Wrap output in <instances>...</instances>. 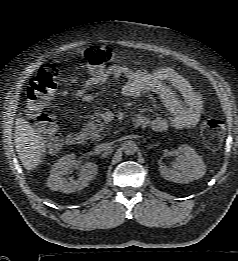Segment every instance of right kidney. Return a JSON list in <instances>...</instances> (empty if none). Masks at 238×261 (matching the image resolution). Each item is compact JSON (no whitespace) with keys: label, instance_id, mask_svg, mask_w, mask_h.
Segmentation results:
<instances>
[{"label":"right kidney","instance_id":"1","mask_svg":"<svg viewBox=\"0 0 238 261\" xmlns=\"http://www.w3.org/2000/svg\"><path fill=\"white\" fill-rule=\"evenodd\" d=\"M79 179L66 181L63 176L70 173L72 169L79 168ZM98 166L94 162L80 165L74 154L61 157L53 166L48 178L47 185L50 189L64 193H72L82 190L88 186L97 174Z\"/></svg>","mask_w":238,"mask_h":261}]
</instances>
